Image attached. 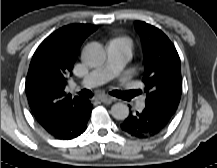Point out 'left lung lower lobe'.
I'll return each instance as SVG.
<instances>
[{"instance_id": "1", "label": "left lung lower lobe", "mask_w": 217, "mask_h": 168, "mask_svg": "<svg viewBox=\"0 0 217 168\" xmlns=\"http://www.w3.org/2000/svg\"><path fill=\"white\" fill-rule=\"evenodd\" d=\"M172 118L173 115L165 110L146 105L142 112H136L126 118L121 124V128L132 136L146 138L161 132Z\"/></svg>"}]
</instances>
